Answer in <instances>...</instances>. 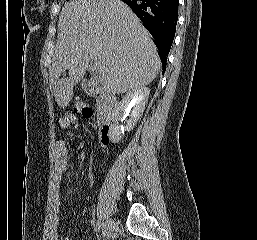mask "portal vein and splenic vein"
<instances>
[{
	"label": "portal vein and splenic vein",
	"instance_id": "18ae733b",
	"mask_svg": "<svg viewBox=\"0 0 257 240\" xmlns=\"http://www.w3.org/2000/svg\"><path fill=\"white\" fill-rule=\"evenodd\" d=\"M91 69L93 71H95L96 73H99L101 71V67L100 65L97 63V62H94L92 65H91Z\"/></svg>",
	"mask_w": 257,
	"mask_h": 240
}]
</instances>
